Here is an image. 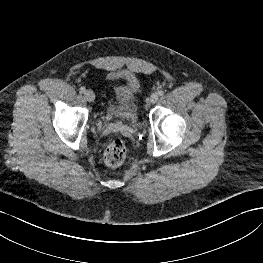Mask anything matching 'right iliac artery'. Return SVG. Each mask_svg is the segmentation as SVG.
I'll use <instances>...</instances> for the list:
<instances>
[{"instance_id":"1","label":"right iliac artery","mask_w":263,"mask_h":263,"mask_svg":"<svg viewBox=\"0 0 263 263\" xmlns=\"http://www.w3.org/2000/svg\"><path fill=\"white\" fill-rule=\"evenodd\" d=\"M85 90H86L85 87H81V88H80V92H81V93H84Z\"/></svg>"}]
</instances>
